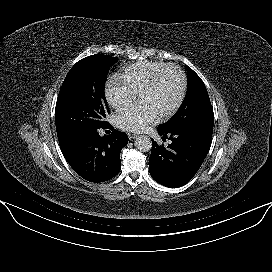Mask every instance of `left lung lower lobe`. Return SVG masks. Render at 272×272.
Instances as JSON below:
<instances>
[{"instance_id": "0a47b994", "label": "left lung lower lobe", "mask_w": 272, "mask_h": 272, "mask_svg": "<svg viewBox=\"0 0 272 272\" xmlns=\"http://www.w3.org/2000/svg\"><path fill=\"white\" fill-rule=\"evenodd\" d=\"M158 133L171 143L165 148L152 140L150 175L163 186L181 187L193 178L202 165L211 146L212 133L198 130L166 132L160 127Z\"/></svg>"}]
</instances>
